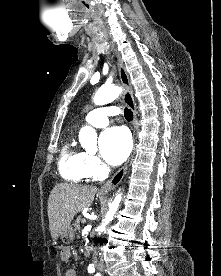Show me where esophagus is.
I'll return each instance as SVG.
<instances>
[{"label":"esophagus","mask_w":221,"mask_h":276,"mask_svg":"<svg viewBox=\"0 0 221 276\" xmlns=\"http://www.w3.org/2000/svg\"><path fill=\"white\" fill-rule=\"evenodd\" d=\"M114 54L117 57L118 61V73L119 77L121 80V83L124 86V96L123 100L125 104L131 109L133 112V134L134 136L136 135V123H137V110H136V104L133 98V93H132V86L130 84V80L128 77V74L126 72V69L124 67V64L122 60L120 59L119 54L117 51L114 49ZM130 162V158L126 161V163L117 171V173L109 180L107 181L102 187H101V192L107 193L114 189L123 179L124 175L126 174L128 165Z\"/></svg>","instance_id":"34e87169"}]
</instances>
